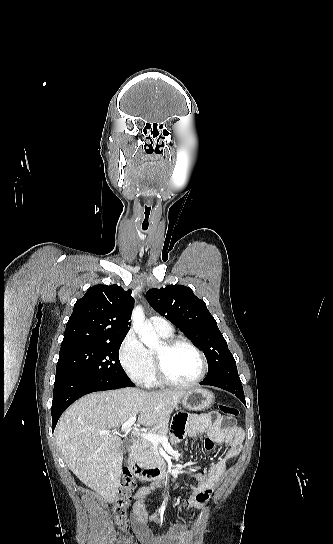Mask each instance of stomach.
Returning <instances> with one entry per match:
<instances>
[{
	"label": "stomach",
	"instance_id": "obj_1",
	"mask_svg": "<svg viewBox=\"0 0 333 544\" xmlns=\"http://www.w3.org/2000/svg\"><path fill=\"white\" fill-rule=\"evenodd\" d=\"M180 402L189 411L206 410L214 403V395L208 390L193 388L184 394Z\"/></svg>",
	"mask_w": 333,
	"mask_h": 544
}]
</instances>
